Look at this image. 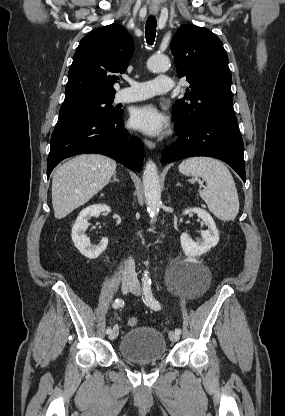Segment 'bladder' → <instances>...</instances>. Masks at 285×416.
Listing matches in <instances>:
<instances>
[{
  "instance_id": "1",
  "label": "bladder",
  "mask_w": 285,
  "mask_h": 416,
  "mask_svg": "<svg viewBox=\"0 0 285 416\" xmlns=\"http://www.w3.org/2000/svg\"><path fill=\"white\" fill-rule=\"evenodd\" d=\"M121 359L129 363L156 364L166 358L165 335L152 326L129 329L117 344Z\"/></svg>"
}]
</instances>
